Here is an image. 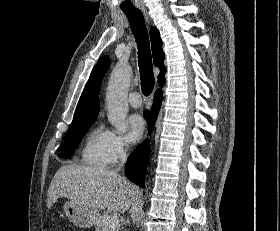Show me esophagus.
Segmentation results:
<instances>
[{
    "label": "esophagus",
    "mask_w": 280,
    "mask_h": 231,
    "mask_svg": "<svg viewBox=\"0 0 280 231\" xmlns=\"http://www.w3.org/2000/svg\"><path fill=\"white\" fill-rule=\"evenodd\" d=\"M139 8H140V10L143 12L145 18L148 20L149 16H148V12H147V10H146V7H145V6H141V7H139ZM146 136H147V133L145 134V137H146Z\"/></svg>",
    "instance_id": "obj_1"
}]
</instances>
